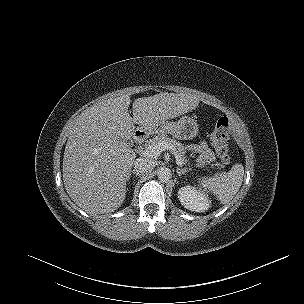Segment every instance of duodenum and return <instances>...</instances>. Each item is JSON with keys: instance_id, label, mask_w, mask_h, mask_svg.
<instances>
[{"instance_id": "obj_1", "label": "duodenum", "mask_w": 304, "mask_h": 304, "mask_svg": "<svg viewBox=\"0 0 304 304\" xmlns=\"http://www.w3.org/2000/svg\"><path fill=\"white\" fill-rule=\"evenodd\" d=\"M144 138H145V133L143 131H137V132H135V134H134V141L136 143L142 142L144 140Z\"/></svg>"}]
</instances>
